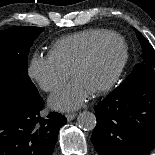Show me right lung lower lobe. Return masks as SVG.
Masks as SVG:
<instances>
[{
    "instance_id": "1",
    "label": "right lung lower lobe",
    "mask_w": 155,
    "mask_h": 155,
    "mask_svg": "<svg viewBox=\"0 0 155 155\" xmlns=\"http://www.w3.org/2000/svg\"><path fill=\"white\" fill-rule=\"evenodd\" d=\"M43 106L39 94L27 106L0 104V155H52L67 119L57 112L41 118Z\"/></svg>"
}]
</instances>
